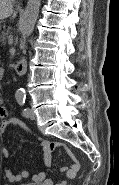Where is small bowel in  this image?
<instances>
[{"label": "small bowel", "instance_id": "obj_1", "mask_svg": "<svg viewBox=\"0 0 119 185\" xmlns=\"http://www.w3.org/2000/svg\"><path fill=\"white\" fill-rule=\"evenodd\" d=\"M4 71L0 70V76L2 77ZM0 116H1V133L5 134L8 129L13 127H22L26 130H29L28 127L22 123L20 120L16 118H8L7 117V111L5 106L0 103ZM39 145L43 148L44 152V164L46 167H49L51 165V154L55 148H64L67 154L71 158V164L69 167L63 166L60 168L61 172H64L66 175V178L71 180L74 179L77 176V173L80 169V163L72 153L70 149H68L66 146H64L61 143L58 142H51L49 140L38 138ZM2 154L4 158H9L10 152L6 146H3L2 148ZM4 175L10 182H19L23 178H26L29 176V173L24 171L21 173H14L12 170L5 168L4 169ZM32 180L35 182H42L43 185H53V182L50 179L46 178V172L41 171L35 175H33ZM56 185H67L66 181L61 182L60 184Z\"/></svg>", "mask_w": 119, "mask_h": 185}]
</instances>
